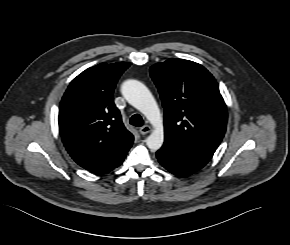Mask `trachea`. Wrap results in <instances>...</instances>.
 Returning a JSON list of instances; mask_svg holds the SVG:
<instances>
[{
	"instance_id": "3493384b",
	"label": "trachea",
	"mask_w": 290,
	"mask_h": 245,
	"mask_svg": "<svg viewBox=\"0 0 290 245\" xmlns=\"http://www.w3.org/2000/svg\"><path fill=\"white\" fill-rule=\"evenodd\" d=\"M130 124L136 127H141L143 125V119L139 114H134L130 118Z\"/></svg>"
}]
</instances>
